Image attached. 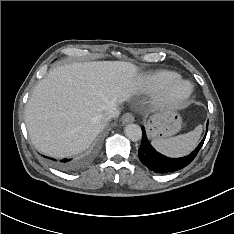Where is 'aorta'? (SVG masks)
Here are the masks:
<instances>
[{"label":"aorta","mask_w":234,"mask_h":234,"mask_svg":"<svg viewBox=\"0 0 234 234\" xmlns=\"http://www.w3.org/2000/svg\"><path fill=\"white\" fill-rule=\"evenodd\" d=\"M125 135L132 141H138L142 137V131L139 125L131 123L125 126Z\"/></svg>","instance_id":"aorta-1"}]
</instances>
